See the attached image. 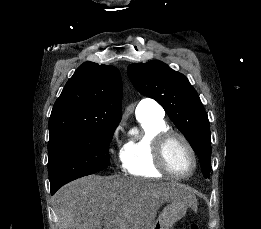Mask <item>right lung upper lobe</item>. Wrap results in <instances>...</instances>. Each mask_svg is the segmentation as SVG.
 I'll use <instances>...</instances> for the list:
<instances>
[{"instance_id": "cb5924a9", "label": "right lung upper lobe", "mask_w": 261, "mask_h": 229, "mask_svg": "<svg viewBox=\"0 0 261 229\" xmlns=\"http://www.w3.org/2000/svg\"><path fill=\"white\" fill-rule=\"evenodd\" d=\"M121 98L122 80L116 67L83 63L68 80L53 106L48 146L95 126L118 125Z\"/></svg>"}]
</instances>
